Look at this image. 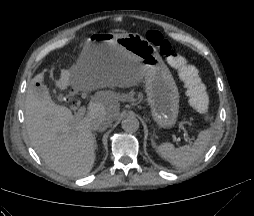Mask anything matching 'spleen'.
I'll return each mask as SVG.
<instances>
[{"mask_svg": "<svg viewBox=\"0 0 254 216\" xmlns=\"http://www.w3.org/2000/svg\"><path fill=\"white\" fill-rule=\"evenodd\" d=\"M212 137V129L200 131L193 144L175 148L166 142L157 148V153L177 169H185L198 161L206 151Z\"/></svg>", "mask_w": 254, "mask_h": 216, "instance_id": "3e777b00", "label": "spleen"}]
</instances>
